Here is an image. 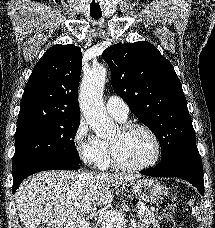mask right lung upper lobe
Wrapping results in <instances>:
<instances>
[{
  "mask_svg": "<svg viewBox=\"0 0 215 228\" xmlns=\"http://www.w3.org/2000/svg\"><path fill=\"white\" fill-rule=\"evenodd\" d=\"M81 62V49L75 45H56L48 49L25 86L17 126L40 121L80 120Z\"/></svg>",
  "mask_w": 215,
  "mask_h": 228,
  "instance_id": "1",
  "label": "right lung upper lobe"
}]
</instances>
